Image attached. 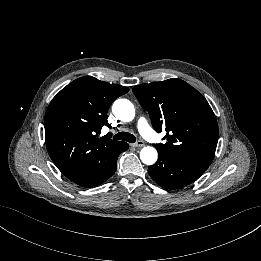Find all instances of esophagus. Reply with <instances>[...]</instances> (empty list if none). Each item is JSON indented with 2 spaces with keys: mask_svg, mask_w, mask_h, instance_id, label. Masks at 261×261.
Instances as JSON below:
<instances>
[{
  "mask_svg": "<svg viewBox=\"0 0 261 261\" xmlns=\"http://www.w3.org/2000/svg\"><path fill=\"white\" fill-rule=\"evenodd\" d=\"M145 144L142 140H139L137 143L133 144L134 147H143Z\"/></svg>",
  "mask_w": 261,
  "mask_h": 261,
  "instance_id": "esophagus-1",
  "label": "esophagus"
}]
</instances>
